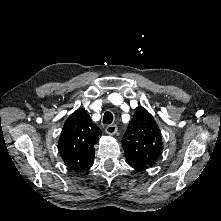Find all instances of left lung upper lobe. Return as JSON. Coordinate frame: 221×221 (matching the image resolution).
<instances>
[{
	"label": "left lung upper lobe",
	"instance_id": "left-lung-upper-lobe-1",
	"mask_svg": "<svg viewBox=\"0 0 221 221\" xmlns=\"http://www.w3.org/2000/svg\"><path fill=\"white\" fill-rule=\"evenodd\" d=\"M127 161L134 163L139 171L153 166L163 150L160 129L153 116L139 107L122 138Z\"/></svg>",
	"mask_w": 221,
	"mask_h": 221
}]
</instances>
